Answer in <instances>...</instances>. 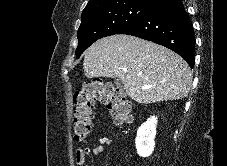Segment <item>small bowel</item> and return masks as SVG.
Segmentation results:
<instances>
[{"mask_svg": "<svg viewBox=\"0 0 227 166\" xmlns=\"http://www.w3.org/2000/svg\"><path fill=\"white\" fill-rule=\"evenodd\" d=\"M110 145L111 139L105 135L100 136L97 143L92 147L87 146V143L83 142L81 147L76 152V162L78 166H85L87 156H89L90 154L100 155L101 153H103L104 148Z\"/></svg>", "mask_w": 227, "mask_h": 166, "instance_id": "obj_1", "label": "small bowel"}]
</instances>
